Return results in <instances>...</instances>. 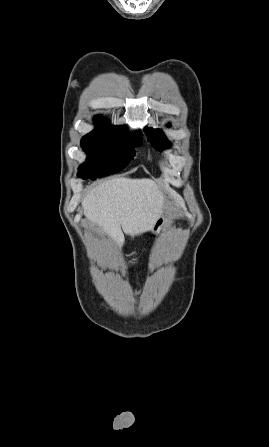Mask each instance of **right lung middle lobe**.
<instances>
[{"label":"right lung middle lobe","mask_w":269,"mask_h":447,"mask_svg":"<svg viewBox=\"0 0 269 447\" xmlns=\"http://www.w3.org/2000/svg\"><path fill=\"white\" fill-rule=\"evenodd\" d=\"M141 136V132L133 134L126 128L98 126L82 138L88 157L79 167L78 177L94 180L121 171L134 158L133 146L141 144Z\"/></svg>","instance_id":"obj_1"}]
</instances>
